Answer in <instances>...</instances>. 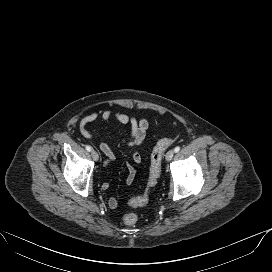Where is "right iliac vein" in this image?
I'll list each match as a JSON object with an SVG mask.
<instances>
[{"instance_id": "obj_1", "label": "right iliac vein", "mask_w": 272, "mask_h": 272, "mask_svg": "<svg viewBox=\"0 0 272 272\" xmlns=\"http://www.w3.org/2000/svg\"><path fill=\"white\" fill-rule=\"evenodd\" d=\"M91 156H92V158H93L95 161H98L99 155H98V153H97L95 150H92V151H91Z\"/></svg>"}]
</instances>
